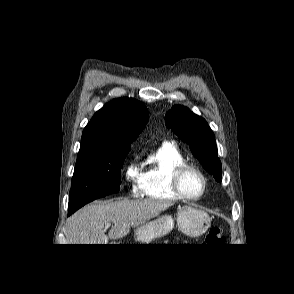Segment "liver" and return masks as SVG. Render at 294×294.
Segmentation results:
<instances>
[{"instance_id":"6515ba94","label":"liver","mask_w":294,"mask_h":294,"mask_svg":"<svg viewBox=\"0 0 294 294\" xmlns=\"http://www.w3.org/2000/svg\"><path fill=\"white\" fill-rule=\"evenodd\" d=\"M173 203L152 199L115 202H96L76 212L66 223L67 244H108L109 239H120L159 214ZM112 223L105 234L104 225Z\"/></svg>"}]
</instances>
